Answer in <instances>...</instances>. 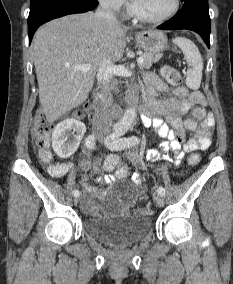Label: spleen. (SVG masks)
<instances>
[{"label": "spleen", "instance_id": "3e777b00", "mask_svg": "<svg viewBox=\"0 0 233 284\" xmlns=\"http://www.w3.org/2000/svg\"><path fill=\"white\" fill-rule=\"evenodd\" d=\"M173 42L182 50L189 69L187 71L186 85L197 90L202 80L203 61L198 47L189 39L177 37Z\"/></svg>", "mask_w": 233, "mask_h": 284}]
</instances>
